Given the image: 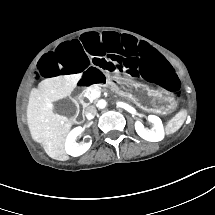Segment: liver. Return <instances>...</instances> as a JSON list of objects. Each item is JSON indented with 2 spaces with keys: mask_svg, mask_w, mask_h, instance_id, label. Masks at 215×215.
<instances>
[{
  "mask_svg": "<svg viewBox=\"0 0 215 215\" xmlns=\"http://www.w3.org/2000/svg\"><path fill=\"white\" fill-rule=\"evenodd\" d=\"M80 77L81 73L48 78L30 92L27 121L31 137L53 159L65 154L64 142L72 124L52 112V102L70 95Z\"/></svg>",
  "mask_w": 215,
  "mask_h": 215,
  "instance_id": "6515ba94",
  "label": "liver"
}]
</instances>
